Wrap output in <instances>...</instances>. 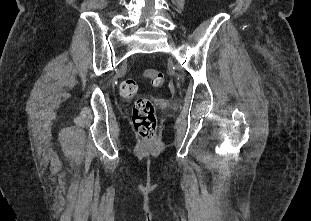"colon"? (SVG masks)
Instances as JSON below:
<instances>
[{"mask_svg":"<svg viewBox=\"0 0 311 221\" xmlns=\"http://www.w3.org/2000/svg\"><path fill=\"white\" fill-rule=\"evenodd\" d=\"M145 76L154 87H161L166 82L164 73L156 70H146ZM137 80L133 77L124 79L120 85L123 97L131 98L138 90ZM134 129L142 136L143 141H156V115L153 101L148 97H139L135 100L132 112Z\"/></svg>","mask_w":311,"mask_h":221,"instance_id":"5ec220e1","label":"colon"}]
</instances>
